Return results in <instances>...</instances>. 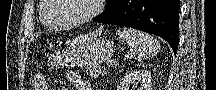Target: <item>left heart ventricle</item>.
<instances>
[{"instance_id": "left-heart-ventricle-1", "label": "left heart ventricle", "mask_w": 216, "mask_h": 90, "mask_svg": "<svg viewBox=\"0 0 216 90\" xmlns=\"http://www.w3.org/2000/svg\"><path fill=\"white\" fill-rule=\"evenodd\" d=\"M65 1L63 10H58L55 19H48L56 26H68L80 21L91 9V0H58Z\"/></svg>"}]
</instances>
